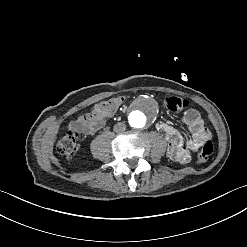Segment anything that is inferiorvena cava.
Here are the masks:
<instances>
[{"mask_svg":"<svg viewBox=\"0 0 247 247\" xmlns=\"http://www.w3.org/2000/svg\"><path fill=\"white\" fill-rule=\"evenodd\" d=\"M125 130H126V124L125 123L119 122V123L115 124V126H114V131L116 133H121Z\"/></svg>","mask_w":247,"mask_h":247,"instance_id":"inferior-vena-cava-1","label":"inferior vena cava"}]
</instances>
